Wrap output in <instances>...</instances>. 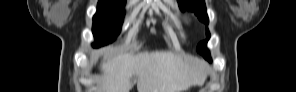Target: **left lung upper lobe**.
<instances>
[{"label":"left lung upper lobe","instance_id":"1","mask_svg":"<svg viewBox=\"0 0 296 92\" xmlns=\"http://www.w3.org/2000/svg\"><path fill=\"white\" fill-rule=\"evenodd\" d=\"M181 10L189 9L193 11L200 21L206 25L209 23V19L206 13V6L204 0H178ZM210 38L208 29L206 30V41ZM206 42H202L198 45L197 51L202 54L207 60L211 61L209 50L205 47Z\"/></svg>","mask_w":296,"mask_h":92}]
</instances>
